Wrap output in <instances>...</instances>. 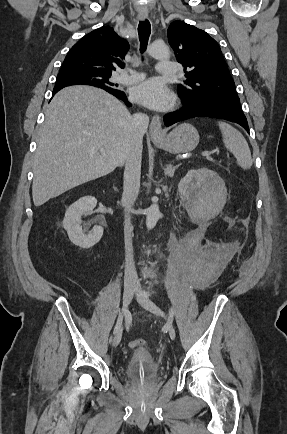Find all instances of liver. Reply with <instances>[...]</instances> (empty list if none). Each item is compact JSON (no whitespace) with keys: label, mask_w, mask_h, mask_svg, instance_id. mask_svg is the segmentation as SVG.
Masks as SVG:
<instances>
[{"label":"liver","mask_w":287,"mask_h":434,"mask_svg":"<svg viewBox=\"0 0 287 434\" xmlns=\"http://www.w3.org/2000/svg\"><path fill=\"white\" fill-rule=\"evenodd\" d=\"M132 118L128 109L104 90L89 86L60 90L48 105L38 134L34 205L39 207L122 167L134 144Z\"/></svg>","instance_id":"1"}]
</instances>
